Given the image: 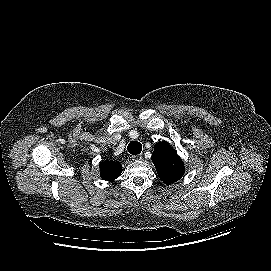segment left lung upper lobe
<instances>
[{
    "label": "left lung upper lobe",
    "mask_w": 271,
    "mask_h": 271,
    "mask_svg": "<svg viewBox=\"0 0 271 271\" xmlns=\"http://www.w3.org/2000/svg\"><path fill=\"white\" fill-rule=\"evenodd\" d=\"M151 159L159 178L167 185L177 182L185 172L182 160L168 142L156 143Z\"/></svg>",
    "instance_id": "left-lung-upper-lobe-1"
}]
</instances>
